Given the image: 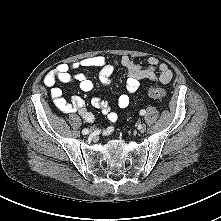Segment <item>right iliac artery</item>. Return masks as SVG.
Returning <instances> with one entry per match:
<instances>
[{"mask_svg":"<svg viewBox=\"0 0 221 221\" xmlns=\"http://www.w3.org/2000/svg\"><path fill=\"white\" fill-rule=\"evenodd\" d=\"M82 133L87 134V133H89V130L85 128V129L82 130Z\"/></svg>","mask_w":221,"mask_h":221,"instance_id":"obj_1","label":"right iliac artery"}]
</instances>
